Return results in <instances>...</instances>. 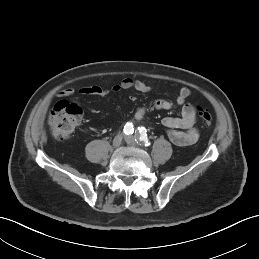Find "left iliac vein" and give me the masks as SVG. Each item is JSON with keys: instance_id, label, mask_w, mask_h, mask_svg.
Segmentation results:
<instances>
[{"instance_id": "1", "label": "left iliac vein", "mask_w": 259, "mask_h": 259, "mask_svg": "<svg viewBox=\"0 0 259 259\" xmlns=\"http://www.w3.org/2000/svg\"><path fill=\"white\" fill-rule=\"evenodd\" d=\"M125 141L130 146H134V147L138 146L137 145L138 143L136 142V138L132 135L126 136Z\"/></svg>"}]
</instances>
